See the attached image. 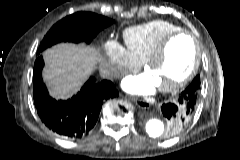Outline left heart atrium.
Segmentation results:
<instances>
[{
	"label": "left heart atrium",
	"mask_w": 240,
	"mask_h": 160,
	"mask_svg": "<svg viewBox=\"0 0 240 160\" xmlns=\"http://www.w3.org/2000/svg\"><path fill=\"white\" fill-rule=\"evenodd\" d=\"M122 87L130 93L149 94L155 90L156 85L146 73H142L124 78Z\"/></svg>",
	"instance_id": "left-heart-atrium-1"
}]
</instances>
